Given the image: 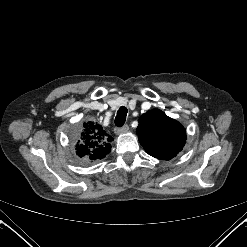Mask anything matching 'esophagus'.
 Here are the masks:
<instances>
[{"label":"esophagus","instance_id":"1","mask_svg":"<svg viewBox=\"0 0 247 247\" xmlns=\"http://www.w3.org/2000/svg\"><path fill=\"white\" fill-rule=\"evenodd\" d=\"M128 130H129V126L128 125H124L123 127L115 128V133L117 135H120V134L126 133Z\"/></svg>","mask_w":247,"mask_h":247}]
</instances>
